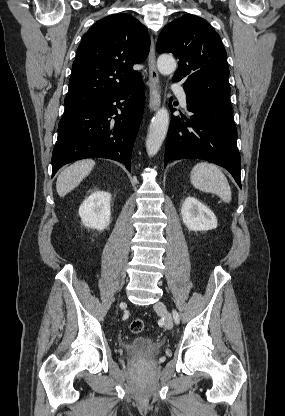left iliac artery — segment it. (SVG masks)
Masks as SVG:
<instances>
[{
  "label": "left iliac artery",
  "mask_w": 285,
  "mask_h": 416,
  "mask_svg": "<svg viewBox=\"0 0 285 416\" xmlns=\"http://www.w3.org/2000/svg\"><path fill=\"white\" fill-rule=\"evenodd\" d=\"M173 318H174L175 323L178 324L180 321V317L176 310H173Z\"/></svg>",
  "instance_id": "obj_1"
}]
</instances>
